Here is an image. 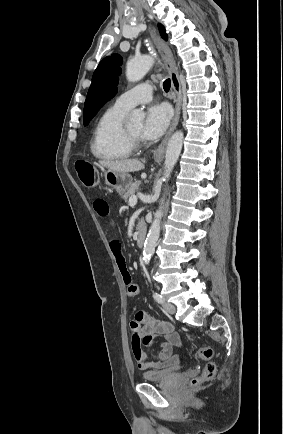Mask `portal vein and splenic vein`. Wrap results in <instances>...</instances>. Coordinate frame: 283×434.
Masks as SVG:
<instances>
[{
    "label": "portal vein and splenic vein",
    "mask_w": 283,
    "mask_h": 434,
    "mask_svg": "<svg viewBox=\"0 0 283 434\" xmlns=\"http://www.w3.org/2000/svg\"><path fill=\"white\" fill-rule=\"evenodd\" d=\"M137 204V196H132L129 199V206H135Z\"/></svg>",
    "instance_id": "1"
}]
</instances>
